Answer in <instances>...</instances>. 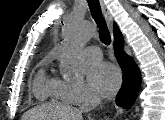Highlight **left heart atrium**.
Wrapping results in <instances>:
<instances>
[{
  "instance_id": "left-heart-atrium-1",
  "label": "left heart atrium",
  "mask_w": 165,
  "mask_h": 120,
  "mask_svg": "<svg viewBox=\"0 0 165 120\" xmlns=\"http://www.w3.org/2000/svg\"><path fill=\"white\" fill-rule=\"evenodd\" d=\"M88 82L96 94L110 96L118 89L121 77L114 65L99 62L90 66L88 70Z\"/></svg>"
}]
</instances>
